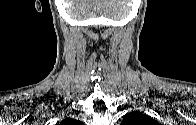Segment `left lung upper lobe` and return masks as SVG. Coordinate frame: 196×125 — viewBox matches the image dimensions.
Returning a JSON list of instances; mask_svg holds the SVG:
<instances>
[{"label": "left lung upper lobe", "instance_id": "left-lung-upper-lobe-1", "mask_svg": "<svg viewBox=\"0 0 196 125\" xmlns=\"http://www.w3.org/2000/svg\"><path fill=\"white\" fill-rule=\"evenodd\" d=\"M121 125H158V122L141 112H131L123 117Z\"/></svg>", "mask_w": 196, "mask_h": 125}]
</instances>
